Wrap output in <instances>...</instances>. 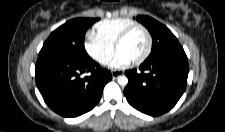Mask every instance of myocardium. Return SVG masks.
<instances>
[{"instance_id": "myocardium-1", "label": "myocardium", "mask_w": 225, "mask_h": 132, "mask_svg": "<svg viewBox=\"0 0 225 132\" xmlns=\"http://www.w3.org/2000/svg\"><path fill=\"white\" fill-rule=\"evenodd\" d=\"M136 30L143 31L147 37V48H146L145 52L138 59L131 61L132 64L139 65V64L143 63L149 57V55L151 54V51H152V46H153L152 35L145 26L136 24V25L130 26L127 29H125L116 39V41L114 43V48H115V51L117 52L119 46L130 36L131 33H133Z\"/></svg>"}]
</instances>
